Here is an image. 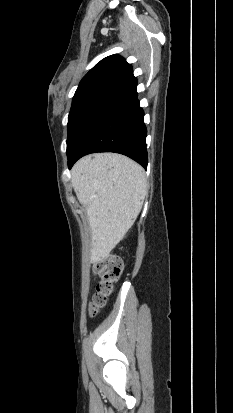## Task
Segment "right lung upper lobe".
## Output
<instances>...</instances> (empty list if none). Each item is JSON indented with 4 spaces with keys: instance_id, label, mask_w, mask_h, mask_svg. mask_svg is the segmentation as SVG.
Masks as SVG:
<instances>
[{
    "instance_id": "1",
    "label": "right lung upper lobe",
    "mask_w": 233,
    "mask_h": 413,
    "mask_svg": "<svg viewBox=\"0 0 233 413\" xmlns=\"http://www.w3.org/2000/svg\"><path fill=\"white\" fill-rule=\"evenodd\" d=\"M132 71L130 64L119 55H111L95 65L81 80L79 87L97 80H117Z\"/></svg>"
}]
</instances>
